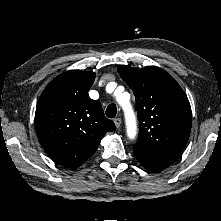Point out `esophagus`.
<instances>
[{
	"mask_svg": "<svg viewBox=\"0 0 221 221\" xmlns=\"http://www.w3.org/2000/svg\"><path fill=\"white\" fill-rule=\"evenodd\" d=\"M121 118H115L114 119V123H115V125H116V128H120V126H121Z\"/></svg>",
	"mask_w": 221,
	"mask_h": 221,
	"instance_id": "obj_1",
	"label": "esophagus"
}]
</instances>
